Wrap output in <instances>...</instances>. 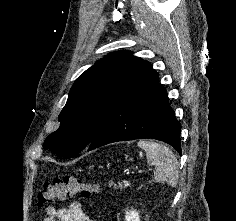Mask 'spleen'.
I'll list each match as a JSON object with an SVG mask.
<instances>
[{
    "instance_id": "3e777b00",
    "label": "spleen",
    "mask_w": 236,
    "mask_h": 221,
    "mask_svg": "<svg viewBox=\"0 0 236 221\" xmlns=\"http://www.w3.org/2000/svg\"><path fill=\"white\" fill-rule=\"evenodd\" d=\"M138 146L146 152L148 164L155 166V179L175 187L179 173L178 161L172 150L163 144L147 140H140ZM139 155L142 157V152Z\"/></svg>"
}]
</instances>
